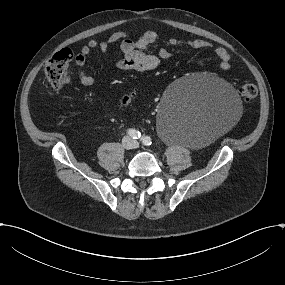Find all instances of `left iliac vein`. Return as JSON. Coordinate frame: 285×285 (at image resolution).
I'll use <instances>...</instances> for the list:
<instances>
[{
	"label": "left iliac vein",
	"instance_id": "obj_1",
	"mask_svg": "<svg viewBox=\"0 0 285 285\" xmlns=\"http://www.w3.org/2000/svg\"><path fill=\"white\" fill-rule=\"evenodd\" d=\"M135 142V148H138L139 147V143L137 141H134Z\"/></svg>",
	"mask_w": 285,
	"mask_h": 285
}]
</instances>
